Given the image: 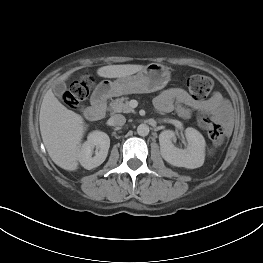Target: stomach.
Listing matches in <instances>:
<instances>
[{"mask_svg": "<svg viewBox=\"0 0 263 263\" xmlns=\"http://www.w3.org/2000/svg\"><path fill=\"white\" fill-rule=\"evenodd\" d=\"M169 80L170 72L166 66L150 63L136 75L119 77L114 81H101L95 89V95L108 98L124 94L151 93L164 88Z\"/></svg>", "mask_w": 263, "mask_h": 263, "instance_id": "1", "label": "stomach"}]
</instances>
